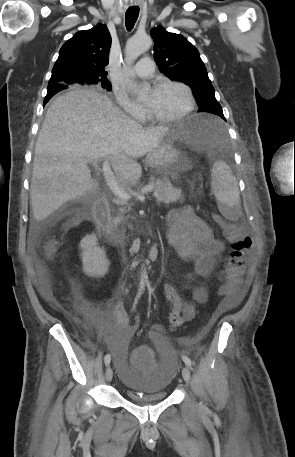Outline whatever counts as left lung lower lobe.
Instances as JSON below:
<instances>
[{
    "label": "left lung lower lobe",
    "instance_id": "obj_1",
    "mask_svg": "<svg viewBox=\"0 0 295 457\" xmlns=\"http://www.w3.org/2000/svg\"><path fill=\"white\" fill-rule=\"evenodd\" d=\"M213 114H216V113H213ZM216 115H218V114H216ZM218 116H219V115H218ZM221 118H222V117H221ZM222 119H224V118H222ZM224 120H225V119H224ZM210 130H211V128H210Z\"/></svg>",
    "mask_w": 295,
    "mask_h": 457
}]
</instances>
